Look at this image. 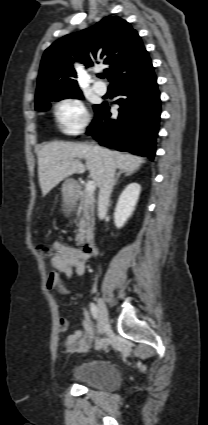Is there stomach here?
<instances>
[{
  "label": "stomach",
  "mask_w": 208,
  "mask_h": 425,
  "mask_svg": "<svg viewBox=\"0 0 208 425\" xmlns=\"http://www.w3.org/2000/svg\"><path fill=\"white\" fill-rule=\"evenodd\" d=\"M77 192V182L74 179H67L62 185L63 198L71 201L75 198Z\"/></svg>",
  "instance_id": "1"
}]
</instances>
